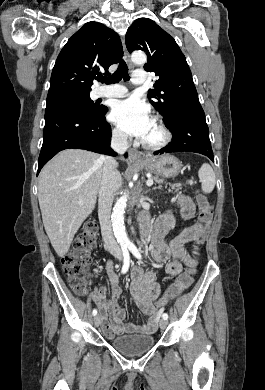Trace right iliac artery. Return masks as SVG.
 I'll use <instances>...</instances> for the list:
<instances>
[{
	"instance_id": "82829eb1",
	"label": "right iliac artery",
	"mask_w": 265,
	"mask_h": 390,
	"mask_svg": "<svg viewBox=\"0 0 265 390\" xmlns=\"http://www.w3.org/2000/svg\"><path fill=\"white\" fill-rule=\"evenodd\" d=\"M122 252H123V257H124V263H123V266H122V273L125 274L128 269H129V266H130V254L128 252V249L126 246L122 247ZM97 314V310L94 309L92 311V315L95 316Z\"/></svg>"
}]
</instances>
